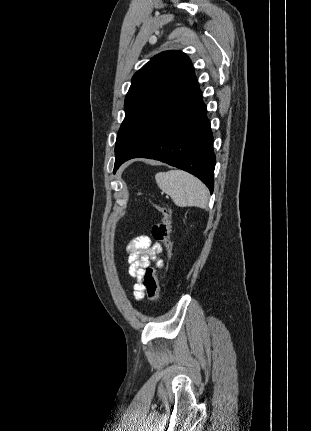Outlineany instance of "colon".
Here are the masks:
<instances>
[{
    "label": "colon",
    "instance_id": "5ec220e1",
    "mask_svg": "<svg viewBox=\"0 0 311 431\" xmlns=\"http://www.w3.org/2000/svg\"><path fill=\"white\" fill-rule=\"evenodd\" d=\"M156 210L160 213L159 222L152 228L153 238L159 242L165 251V256H168L171 249L169 235L172 226L171 211L168 207L154 204ZM143 287L151 301L157 303L160 299V287L158 283V269L156 267H148L142 275Z\"/></svg>",
    "mask_w": 311,
    "mask_h": 431
}]
</instances>
